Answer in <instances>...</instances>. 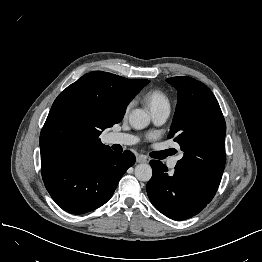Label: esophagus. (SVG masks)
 Segmentation results:
<instances>
[{"mask_svg": "<svg viewBox=\"0 0 262 262\" xmlns=\"http://www.w3.org/2000/svg\"><path fill=\"white\" fill-rule=\"evenodd\" d=\"M136 162L137 163H147L148 159L145 155L139 154L136 156Z\"/></svg>", "mask_w": 262, "mask_h": 262, "instance_id": "34e87169", "label": "esophagus"}]
</instances>
